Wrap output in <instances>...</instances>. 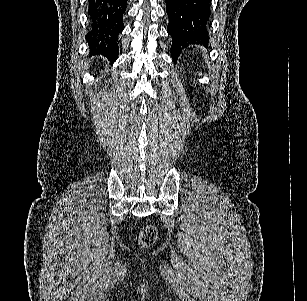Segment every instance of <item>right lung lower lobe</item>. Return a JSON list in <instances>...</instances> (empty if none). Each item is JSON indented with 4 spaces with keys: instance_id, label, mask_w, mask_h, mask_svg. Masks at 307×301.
Segmentation results:
<instances>
[{
    "instance_id": "98d812e1",
    "label": "right lung lower lobe",
    "mask_w": 307,
    "mask_h": 301,
    "mask_svg": "<svg viewBox=\"0 0 307 301\" xmlns=\"http://www.w3.org/2000/svg\"><path fill=\"white\" fill-rule=\"evenodd\" d=\"M127 0H88L90 31L85 36L94 54L115 61L118 56L117 36L123 30Z\"/></svg>"
}]
</instances>
